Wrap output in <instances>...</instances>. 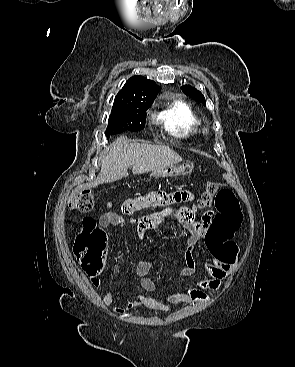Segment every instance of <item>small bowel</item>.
I'll return each mask as SVG.
<instances>
[{"instance_id": "1", "label": "small bowel", "mask_w": 295, "mask_h": 367, "mask_svg": "<svg viewBox=\"0 0 295 367\" xmlns=\"http://www.w3.org/2000/svg\"><path fill=\"white\" fill-rule=\"evenodd\" d=\"M161 198L166 199L165 203L171 201L180 202L190 200L191 195L188 192H176L174 194L157 193L151 196L130 199L121 205L119 213L106 212L102 214L99 220L100 225L102 228L123 226L127 222L128 217L141 209L158 205L159 199ZM161 213L174 215L172 221L178 222L189 234L184 255V265L180 270L181 277H189L194 274L198 268L195 250L203 239L206 240L213 213H205L200 220L195 219L194 210L190 208L162 209ZM130 221L136 224V234L139 239H142L148 230L160 224L159 217L155 215H145L137 219H130ZM208 249L211 257L203 264V268L209 274V278L198 281L196 287L186 289L182 292L168 294L166 297L167 303H161L154 298L144 296L143 294H137L134 300H130L122 305H116L114 308L115 312L117 314H122L139 306L170 311L172 309V304H192L194 302L207 301L209 296L204 290L209 289L217 291L221 286V282L226 279L234 269V262L224 261L210 247H208ZM151 268L152 261L150 259H144L136 266V275L139 278L140 286L147 292H152L156 288L154 280L148 276ZM91 281L96 288L102 285V280L98 276H93ZM102 301L106 306L112 305L114 302L113 294L111 292H106L103 295Z\"/></svg>"}]
</instances>
